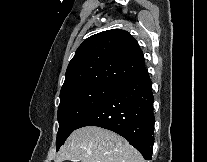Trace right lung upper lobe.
Returning <instances> with one entry per match:
<instances>
[{"mask_svg": "<svg viewBox=\"0 0 207 162\" xmlns=\"http://www.w3.org/2000/svg\"><path fill=\"white\" fill-rule=\"evenodd\" d=\"M144 68L143 53L127 31H103L79 46L66 70L60 94L94 84L117 85Z\"/></svg>", "mask_w": 207, "mask_h": 162, "instance_id": "obj_1", "label": "right lung upper lobe"}]
</instances>
